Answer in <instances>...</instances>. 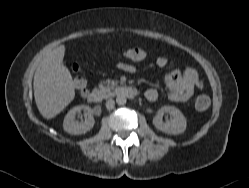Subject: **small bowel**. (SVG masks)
Masks as SVG:
<instances>
[{
	"instance_id": "small-bowel-1",
	"label": "small bowel",
	"mask_w": 249,
	"mask_h": 188,
	"mask_svg": "<svg viewBox=\"0 0 249 188\" xmlns=\"http://www.w3.org/2000/svg\"><path fill=\"white\" fill-rule=\"evenodd\" d=\"M126 59L138 62L143 59H134L129 55L124 56ZM169 61L166 57L160 56L156 60L159 68H165ZM119 69L127 73H135L136 67L129 63H120ZM167 97L174 102H185L190 100L197 90L203 89V81L198 72L193 68H186L184 70L175 69L171 71L165 79ZM146 98L151 101H157L159 92L156 88H150L146 91Z\"/></svg>"
}]
</instances>
